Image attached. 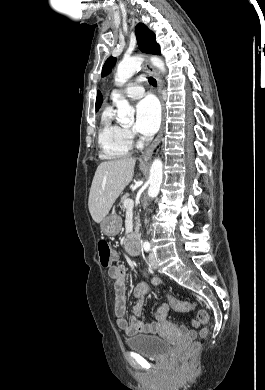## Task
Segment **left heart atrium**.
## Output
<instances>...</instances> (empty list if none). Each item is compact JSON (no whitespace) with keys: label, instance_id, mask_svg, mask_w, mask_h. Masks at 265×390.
Returning <instances> with one entry per match:
<instances>
[{"label":"left heart atrium","instance_id":"39dd6f15","mask_svg":"<svg viewBox=\"0 0 265 390\" xmlns=\"http://www.w3.org/2000/svg\"><path fill=\"white\" fill-rule=\"evenodd\" d=\"M160 108L153 98H145L136 106L135 129L142 135H153L160 125Z\"/></svg>","mask_w":265,"mask_h":390}]
</instances>
